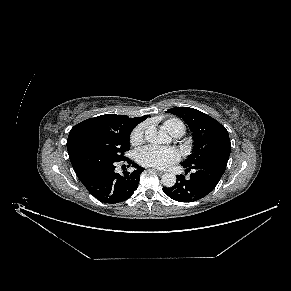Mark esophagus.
Instances as JSON below:
<instances>
[{
  "label": "esophagus",
  "mask_w": 291,
  "mask_h": 291,
  "mask_svg": "<svg viewBox=\"0 0 291 291\" xmlns=\"http://www.w3.org/2000/svg\"><path fill=\"white\" fill-rule=\"evenodd\" d=\"M154 171H156L159 175H162V174H164V171H161V170H158V169H153Z\"/></svg>",
  "instance_id": "esophagus-1"
}]
</instances>
